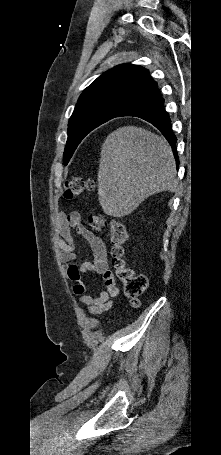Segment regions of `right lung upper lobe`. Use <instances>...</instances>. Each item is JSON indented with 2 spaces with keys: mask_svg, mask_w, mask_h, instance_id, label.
Segmentation results:
<instances>
[{
  "mask_svg": "<svg viewBox=\"0 0 221 455\" xmlns=\"http://www.w3.org/2000/svg\"><path fill=\"white\" fill-rule=\"evenodd\" d=\"M157 87L148 70L132 64L114 67L98 77L80 95L75 108L94 103L115 104L124 110L151 94Z\"/></svg>",
  "mask_w": 221,
  "mask_h": 455,
  "instance_id": "1",
  "label": "right lung upper lobe"
}]
</instances>
